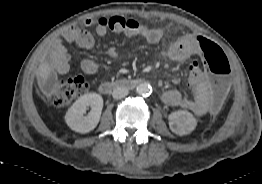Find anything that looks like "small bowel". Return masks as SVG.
I'll return each mask as SVG.
<instances>
[{
    "mask_svg": "<svg viewBox=\"0 0 262 184\" xmlns=\"http://www.w3.org/2000/svg\"><path fill=\"white\" fill-rule=\"evenodd\" d=\"M92 23L87 20L84 25H73L64 29L61 33V39L54 42L52 47V66L59 74H66L70 69L69 55L63 45L64 42L76 43L84 49H91L94 46V39L87 32L86 27ZM96 34L103 37L106 29L97 26ZM130 36H138L150 44H157L163 37V32L159 28L140 27L136 32L127 33ZM199 36L193 34L178 35L174 43L167 49L166 55L173 61H185V73L188 79V89L195 94L194 97H185L178 90H168L163 93L162 101L168 106H178L192 111L198 116L207 113L210 107L207 104V91L203 83L209 75L208 68L201 59V53L195 46V41ZM111 57H116L118 52L115 47L108 49ZM197 57L200 60L193 58ZM191 58V59H190ZM81 69L88 75L95 74L98 70L97 63L92 59H84L81 62Z\"/></svg>",
    "mask_w": 262,
    "mask_h": 184,
    "instance_id": "obj_1",
    "label": "small bowel"
}]
</instances>
